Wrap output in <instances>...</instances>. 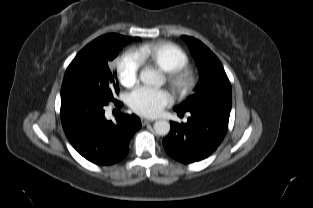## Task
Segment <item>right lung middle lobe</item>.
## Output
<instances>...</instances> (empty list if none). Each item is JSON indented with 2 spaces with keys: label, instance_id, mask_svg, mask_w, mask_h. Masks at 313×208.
<instances>
[{
  "label": "right lung middle lobe",
  "instance_id": "obj_1",
  "mask_svg": "<svg viewBox=\"0 0 313 208\" xmlns=\"http://www.w3.org/2000/svg\"><path fill=\"white\" fill-rule=\"evenodd\" d=\"M131 40L129 37L107 34L89 43L68 66L62 88L74 86L102 100L115 101L114 97L119 87L116 74L110 69V63Z\"/></svg>",
  "mask_w": 313,
  "mask_h": 208
}]
</instances>
